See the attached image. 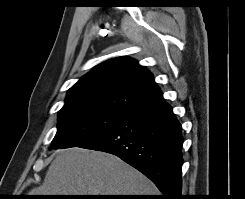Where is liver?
Masks as SVG:
<instances>
[{"label":"liver","instance_id":"obj_1","mask_svg":"<svg viewBox=\"0 0 245 199\" xmlns=\"http://www.w3.org/2000/svg\"><path fill=\"white\" fill-rule=\"evenodd\" d=\"M156 186L117 156L82 149L62 150L44 182L29 195H157Z\"/></svg>","mask_w":245,"mask_h":199}]
</instances>
